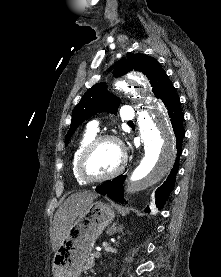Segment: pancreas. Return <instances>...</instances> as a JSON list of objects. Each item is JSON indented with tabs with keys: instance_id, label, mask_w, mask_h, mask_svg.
I'll return each mask as SVG.
<instances>
[{
	"instance_id": "pancreas-1",
	"label": "pancreas",
	"mask_w": 221,
	"mask_h": 277,
	"mask_svg": "<svg viewBox=\"0 0 221 277\" xmlns=\"http://www.w3.org/2000/svg\"><path fill=\"white\" fill-rule=\"evenodd\" d=\"M95 253H92L91 254V257L87 260L85 266H84V270H89V269H92V267H94L95 265Z\"/></svg>"
}]
</instances>
